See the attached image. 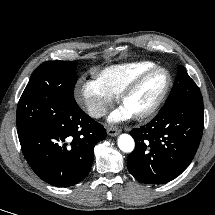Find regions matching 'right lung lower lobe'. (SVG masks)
Returning <instances> with one entry per match:
<instances>
[{"label": "right lung lower lobe", "mask_w": 215, "mask_h": 215, "mask_svg": "<svg viewBox=\"0 0 215 215\" xmlns=\"http://www.w3.org/2000/svg\"><path fill=\"white\" fill-rule=\"evenodd\" d=\"M105 138L104 127L76 105L57 113L20 144L28 164L42 180L69 187L89 173L94 146Z\"/></svg>", "instance_id": "98d812e1"}]
</instances>
